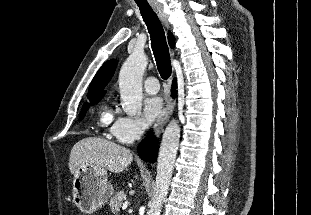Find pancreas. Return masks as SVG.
<instances>
[{"label": "pancreas", "instance_id": "1", "mask_svg": "<svg viewBox=\"0 0 311 215\" xmlns=\"http://www.w3.org/2000/svg\"><path fill=\"white\" fill-rule=\"evenodd\" d=\"M125 200H126V194L123 191L117 192L116 195L110 199L109 205H110L111 211L114 214L118 213L120 211V207L123 204V201Z\"/></svg>", "mask_w": 311, "mask_h": 215}]
</instances>
